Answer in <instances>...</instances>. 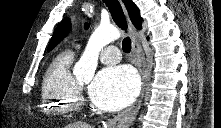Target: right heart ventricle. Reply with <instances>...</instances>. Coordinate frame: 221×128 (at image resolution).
Returning <instances> with one entry per match:
<instances>
[{
  "label": "right heart ventricle",
  "mask_w": 221,
  "mask_h": 128,
  "mask_svg": "<svg viewBox=\"0 0 221 128\" xmlns=\"http://www.w3.org/2000/svg\"><path fill=\"white\" fill-rule=\"evenodd\" d=\"M74 51L57 54L47 67L41 86V114L62 117L73 111L78 80L72 72Z\"/></svg>",
  "instance_id": "e07e8e85"
}]
</instances>
